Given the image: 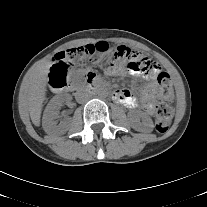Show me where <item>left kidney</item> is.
<instances>
[{
  "instance_id": "left-kidney-1",
  "label": "left kidney",
  "mask_w": 207,
  "mask_h": 207,
  "mask_svg": "<svg viewBox=\"0 0 207 207\" xmlns=\"http://www.w3.org/2000/svg\"><path fill=\"white\" fill-rule=\"evenodd\" d=\"M131 127L139 132L150 133L153 131L154 124L151 117L143 111H131L128 114Z\"/></svg>"
}]
</instances>
